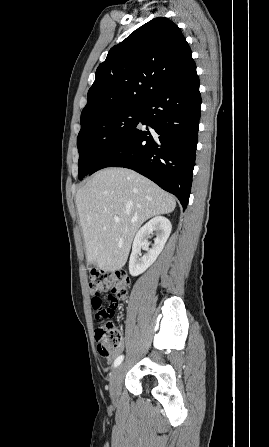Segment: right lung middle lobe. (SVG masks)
Masks as SVG:
<instances>
[{"label":"right lung middle lobe","mask_w":269,"mask_h":447,"mask_svg":"<svg viewBox=\"0 0 269 447\" xmlns=\"http://www.w3.org/2000/svg\"><path fill=\"white\" fill-rule=\"evenodd\" d=\"M144 108V104L117 108L81 124L77 137L80 180L105 153L136 128Z\"/></svg>","instance_id":"obj_1"}]
</instances>
